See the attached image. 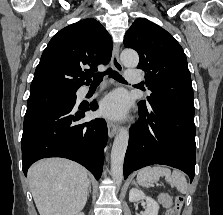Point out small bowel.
Masks as SVG:
<instances>
[{"label":"small bowel","mask_w":223,"mask_h":215,"mask_svg":"<svg viewBox=\"0 0 223 215\" xmlns=\"http://www.w3.org/2000/svg\"><path fill=\"white\" fill-rule=\"evenodd\" d=\"M158 200L160 204L165 208H170L172 206V200L167 194H160Z\"/></svg>","instance_id":"obj_1"}]
</instances>
